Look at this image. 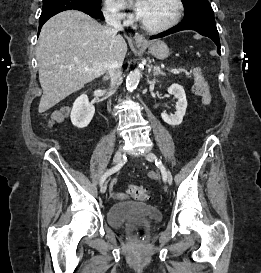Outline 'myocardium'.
Here are the masks:
<instances>
[{"label": "myocardium", "mask_w": 261, "mask_h": 273, "mask_svg": "<svg viewBox=\"0 0 261 273\" xmlns=\"http://www.w3.org/2000/svg\"><path fill=\"white\" fill-rule=\"evenodd\" d=\"M173 2L175 4L176 11H175L173 18L169 22H167L163 25H160V26H150L140 20L141 27L148 32L160 33V32H164V31L172 28L173 26H175L180 21V19L182 17V14L184 11V5H183L182 0H173Z\"/></svg>", "instance_id": "1"}]
</instances>
